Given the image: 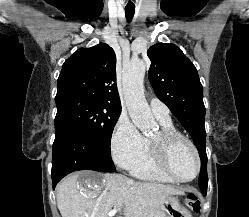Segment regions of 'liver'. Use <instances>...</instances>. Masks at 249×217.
I'll return each mask as SVG.
<instances>
[{
	"instance_id": "liver-1",
	"label": "liver",
	"mask_w": 249,
	"mask_h": 217,
	"mask_svg": "<svg viewBox=\"0 0 249 217\" xmlns=\"http://www.w3.org/2000/svg\"><path fill=\"white\" fill-rule=\"evenodd\" d=\"M90 187H83L78 178ZM182 190L152 182H141L120 174L80 172L64 178L56 187L57 207L62 217H108L123 209L125 217H165L163 203Z\"/></svg>"
}]
</instances>
